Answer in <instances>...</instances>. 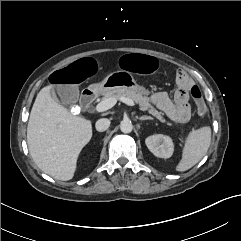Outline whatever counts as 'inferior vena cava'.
Instances as JSON below:
<instances>
[{
  "label": "inferior vena cava",
  "instance_id": "obj_1",
  "mask_svg": "<svg viewBox=\"0 0 241 241\" xmlns=\"http://www.w3.org/2000/svg\"><path fill=\"white\" fill-rule=\"evenodd\" d=\"M109 126H110V120L107 118H101L95 124L96 130L99 132H103L107 130Z\"/></svg>",
  "mask_w": 241,
  "mask_h": 241
}]
</instances>
